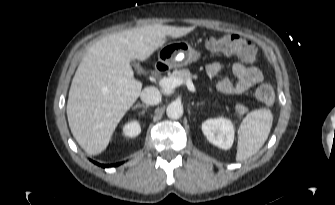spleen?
I'll use <instances>...</instances> for the list:
<instances>
[{"label": "spleen", "instance_id": "spleen-1", "mask_svg": "<svg viewBox=\"0 0 335 205\" xmlns=\"http://www.w3.org/2000/svg\"><path fill=\"white\" fill-rule=\"evenodd\" d=\"M272 122L273 115L269 109L247 114L238 129L237 161H244L260 150L269 136Z\"/></svg>", "mask_w": 335, "mask_h": 205}]
</instances>
